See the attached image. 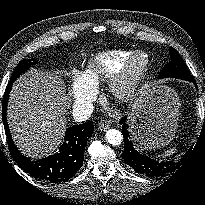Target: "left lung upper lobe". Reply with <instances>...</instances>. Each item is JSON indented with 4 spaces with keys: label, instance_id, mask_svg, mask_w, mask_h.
Returning a JSON list of instances; mask_svg holds the SVG:
<instances>
[{
    "label": "left lung upper lobe",
    "instance_id": "1",
    "mask_svg": "<svg viewBox=\"0 0 205 205\" xmlns=\"http://www.w3.org/2000/svg\"><path fill=\"white\" fill-rule=\"evenodd\" d=\"M169 51L171 61L161 70L158 78L174 77L184 80L193 78L178 52L172 47Z\"/></svg>",
    "mask_w": 205,
    "mask_h": 205
}]
</instances>
